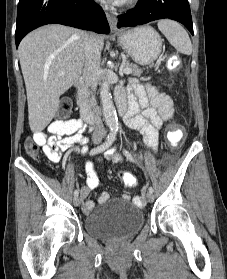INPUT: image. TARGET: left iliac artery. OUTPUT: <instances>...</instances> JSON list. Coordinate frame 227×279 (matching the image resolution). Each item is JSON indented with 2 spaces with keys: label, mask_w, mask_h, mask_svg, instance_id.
<instances>
[{
  "label": "left iliac artery",
  "mask_w": 227,
  "mask_h": 279,
  "mask_svg": "<svg viewBox=\"0 0 227 279\" xmlns=\"http://www.w3.org/2000/svg\"><path fill=\"white\" fill-rule=\"evenodd\" d=\"M124 154L131 162H135L134 158L128 151L124 150ZM149 192L153 193L154 189L152 187H149Z\"/></svg>",
  "instance_id": "1"
}]
</instances>
